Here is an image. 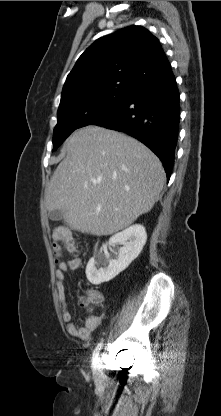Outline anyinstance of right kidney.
<instances>
[{"mask_svg": "<svg viewBox=\"0 0 221 416\" xmlns=\"http://www.w3.org/2000/svg\"><path fill=\"white\" fill-rule=\"evenodd\" d=\"M147 240L145 228L140 224L132 225L109 239V244H121L116 259H111L103 249L92 257L86 266V277L90 283L99 285L108 282L125 270L138 257Z\"/></svg>", "mask_w": 221, "mask_h": 416, "instance_id": "right-kidney-1", "label": "right kidney"}]
</instances>
